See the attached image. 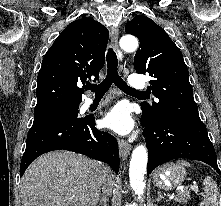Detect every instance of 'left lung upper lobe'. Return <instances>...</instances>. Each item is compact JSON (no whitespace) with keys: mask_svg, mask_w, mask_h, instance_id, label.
<instances>
[{"mask_svg":"<svg viewBox=\"0 0 221 206\" xmlns=\"http://www.w3.org/2000/svg\"><path fill=\"white\" fill-rule=\"evenodd\" d=\"M125 31L135 35L140 46L134 57L139 74L148 73L154 80L148 87L159 102L142 103L154 123L168 120H200L188 79V68L179 48L167 33L145 16H136Z\"/></svg>","mask_w":221,"mask_h":206,"instance_id":"left-lung-upper-lobe-1","label":"left lung upper lobe"}]
</instances>
